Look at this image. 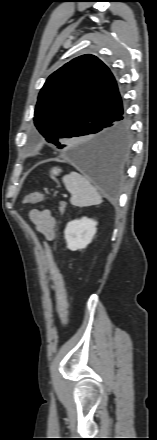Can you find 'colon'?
I'll use <instances>...</instances> for the list:
<instances>
[{"instance_id": "colon-1", "label": "colon", "mask_w": 157, "mask_h": 440, "mask_svg": "<svg viewBox=\"0 0 157 440\" xmlns=\"http://www.w3.org/2000/svg\"><path fill=\"white\" fill-rule=\"evenodd\" d=\"M42 201H44V196L39 192L29 193L25 196L24 199V202L26 204L40 203ZM45 255L52 278L57 288V310L59 312L64 327H66L68 324V297L66 282L61 272L60 266L54 257L53 250L48 244L45 245Z\"/></svg>"}]
</instances>
